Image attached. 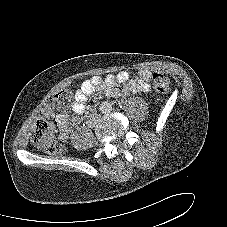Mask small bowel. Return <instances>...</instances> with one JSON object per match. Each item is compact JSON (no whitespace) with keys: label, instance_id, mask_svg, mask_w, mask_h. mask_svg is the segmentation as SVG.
Segmentation results:
<instances>
[{"label":"small bowel","instance_id":"c3829d8e","mask_svg":"<svg viewBox=\"0 0 227 227\" xmlns=\"http://www.w3.org/2000/svg\"><path fill=\"white\" fill-rule=\"evenodd\" d=\"M151 72L143 69L136 79H131L130 73L120 71L117 74H109L104 79L99 76H92L84 80L74 94L72 111L76 115H82L86 110L85 102L87 98L96 90H103L108 97L115 98L121 94L117 84H126L124 92L126 94H138L147 92L150 89ZM56 126L61 140H67L70 136L72 126L79 122V117L70 120L65 112L56 116Z\"/></svg>","mask_w":227,"mask_h":227}]
</instances>
